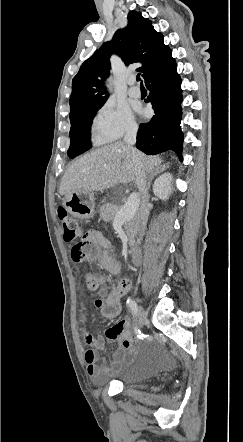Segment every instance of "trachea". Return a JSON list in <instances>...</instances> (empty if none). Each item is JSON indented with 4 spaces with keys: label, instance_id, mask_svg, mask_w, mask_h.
Masks as SVG:
<instances>
[{
    "label": "trachea",
    "instance_id": "obj_1",
    "mask_svg": "<svg viewBox=\"0 0 243 442\" xmlns=\"http://www.w3.org/2000/svg\"><path fill=\"white\" fill-rule=\"evenodd\" d=\"M136 80H137V81H140V74H139V73H138L137 76H136Z\"/></svg>",
    "mask_w": 243,
    "mask_h": 442
}]
</instances>
